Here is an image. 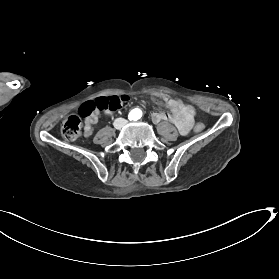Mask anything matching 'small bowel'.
Segmentation results:
<instances>
[{
	"label": "small bowel",
	"mask_w": 279,
	"mask_h": 279,
	"mask_svg": "<svg viewBox=\"0 0 279 279\" xmlns=\"http://www.w3.org/2000/svg\"><path fill=\"white\" fill-rule=\"evenodd\" d=\"M156 100L159 104L169 107L171 109V114L154 111L152 113L153 121L156 123L160 121H170L177 127L181 135L188 134L194 124V117L188 113L184 104L164 94L158 95ZM107 113H110V111ZM99 116V110H95L85 117V136L91 135L93 126L98 122Z\"/></svg>",
	"instance_id": "small-bowel-1"
}]
</instances>
